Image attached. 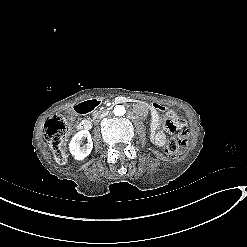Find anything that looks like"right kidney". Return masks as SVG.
Wrapping results in <instances>:
<instances>
[{
    "instance_id": "obj_1",
    "label": "right kidney",
    "mask_w": 247,
    "mask_h": 247,
    "mask_svg": "<svg viewBox=\"0 0 247 247\" xmlns=\"http://www.w3.org/2000/svg\"><path fill=\"white\" fill-rule=\"evenodd\" d=\"M84 138L88 139V143L86 145L81 146L82 140ZM93 149V142L91 138V134L88 130H80L74 134L70 143H69V151L73 156L74 160L83 161L87 156L91 154Z\"/></svg>"
}]
</instances>
